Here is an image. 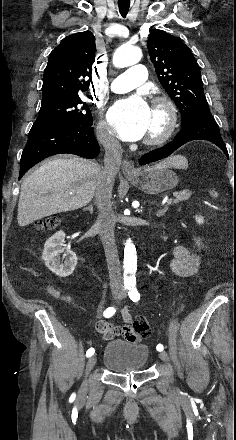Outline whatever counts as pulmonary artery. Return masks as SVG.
Wrapping results in <instances>:
<instances>
[{
  "label": "pulmonary artery",
  "mask_w": 236,
  "mask_h": 440,
  "mask_svg": "<svg viewBox=\"0 0 236 440\" xmlns=\"http://www.w3.org/2000/svg\"><path fill=\"white\" fill-rule=\"evenodd\" d=\"M146 74L147 70L144 65H133L113 80L111 90L118 94L130 92L145 82Z\"/></svg>",
  "instance_id": "e3ab8cb5"
}]
</instances>
